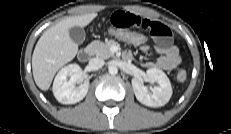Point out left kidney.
Wrapping results in <instances>:
<instances>
[{
	"mask_svg": "<svg viewBox=\"0 0 231 134\" xmlns=\"http://www.w3.org/2000/svg\"><path fill=\"white\" fill-rule=\"evenodd\" d=\"M146 75L150 83L157 82L158 86L153 87L149 91L144 86L142 80L132 79L133 91L137 100L149 107L164 106L172 96V87L169 78L162 70L157 68L148 69Z\"/></svg>",
	"mask_w": 231,
	"mask_h": 134,
	"instance_id": "5707ae66",
	"label": "left kidney"
}]
</instances>
